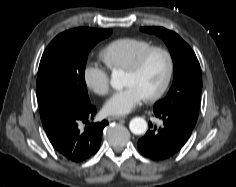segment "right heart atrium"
<instances>
[{
  "instance_id": "right-heart-atrium-1",
  "label": "right heart atrium",
  "mask_w": 236,
  "mask_h": 187,
  "mask_svg": "<svg viewBox=\"0 0 236 187\" xmlns=\"http://www.w3.org/2000/svg\"><path fill=\"white\" fill-rule=\"evenodd\" d=\"M85 85L94 93L104 95L109 91L110 78L108 71L98 63H87L83 69Z\"/></svg>"
}]
</instances>
